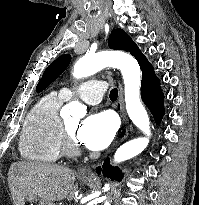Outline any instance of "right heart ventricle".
<instances>
[{
    "label": "right heart ventricle",
    "instance_id": "1",
    "mask_svg": "<svg viewBox=\"0 0 199 205\" xmlns=\"http://www.w3.org/2000/svg\"><path fill=\"white\" fill-rule=\"evenodd\" d=\"M64 99L54 92L42 97L28 113L20 136L19 152L29 161L52 164L61 156L58 111Z\"/></svg>",
    "mask_w": 199,
    "mask_h": 205
}]
</instances>
